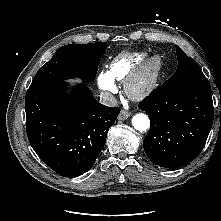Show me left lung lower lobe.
Returning a JSON list of instances; mask_svg holds the SVG:
<instances>
[{"instance_id":"0a47b994","label":"left lung lower lobe","mask_w":221,"mask_h":221,"mask_svg":"<svg viewBox=\"0 0 221 221\" xmlns=\"http://www.w3.org/2000/svg\"><path fill=\"white\" fill-rule=\"evenodd\" d=\"M151 126L143 140L149 159L177 169L202 151L214 118L210 85H164L139 103Z\"/></svg>"}]
</instances>
